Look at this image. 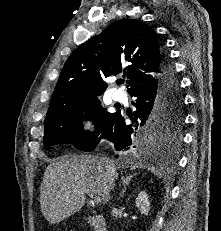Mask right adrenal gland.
<instances>
[{"instance_id": "1", "label": "right adrenal gland", "mask_w": 221, "mask_h": 231, "mask_svg": "<svg viewBox=\"0 0 221 231\" xmlns=\"http://www.w3.org/2000/svg\"><path fill=\"white\" fill-rule=\"evenodd\" d=\"M136 175V173L132 174V175H129V176H122L121 177V182L123 184V189L120 193V197H123L125 192H126V189H127V186L129 185L131 179Z\"/></svg>"}]
</instances>
